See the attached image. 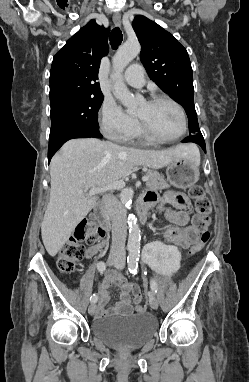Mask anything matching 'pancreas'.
Instances as JSON below:
<instances>
[{
    "mask_svg": "<svg viewBox=\"0 0 249 382\" xmlns=\"http://www.w3.org/2000/svg\"><path fill=\"white\" fill-rule=\"evenodd\" d=\"M146 176L149 177V180L146 181V185L149 189L153 190H163L170 187L166 180H164L163 176L153 170H148L146 172Z\"/></svg>",
    "mask_w": 249,
    "mask_h": 382,
    "instance_id": "1",
    "label": "pancreas"
}]
</instances>
